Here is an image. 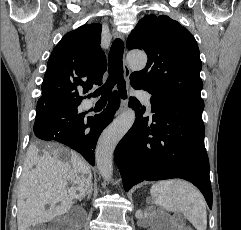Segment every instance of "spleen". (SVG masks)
I'll return each mask as SVG.
<instances>
[{
  "label": "spleen",
  "mask_w": 241,
  "mask_h": 230,
  "mask_svg": "<svg viewBox=\"0 0 241 230\" xmlns=\"http://www.w3.org/2000/svg\"><path fill=\"white\" fill-rule=\"evenodd\" d=\"M150 193L154 203L172 212H181L197 230H206L207 212L202 194L190 183L168 180L155 183Z\"/></svg>",
  "instance_id": "obj_1"
}]
</instances>
